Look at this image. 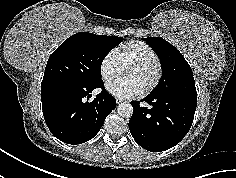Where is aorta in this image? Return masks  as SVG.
Returning a JSON list of instances; mask_svg holds the SVG:
<instances>
[{"instance_id": "aorta-1", "label": "aorta", "mask_w": 236, "mask_h": 178, "mask_svg": "<svg viewBox=\"0 0 236 178\" xmlns=\"http://www.w3.org/2000/svg\"><path fill=\"white\" fill-rule=\"evenodd\" d=\"M117 112L121 117L130 118L133 114V107L129 103H121L117 107Z\"/></svg>"}]
</instances>
